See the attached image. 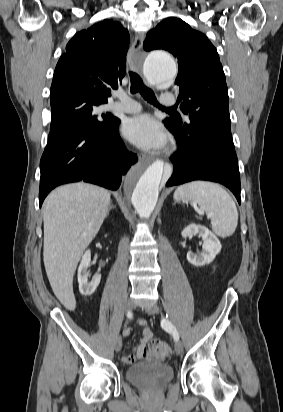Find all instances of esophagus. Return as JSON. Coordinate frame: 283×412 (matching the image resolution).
Returning a JSON list of instances; mask_svg holds the SVG:
<instances>
[{"instance_id":"1","label":"esophagus","mask_w":283,"mask_h":412,"mask_svg":"<svg viewBox=\"0 0 283 412\" xmlns=\"http://www.w3.org/2000/svg\"><path fill=\"white\" fill-rule=\"evenodd\" d=\"M143 41L144 37L141 34H137L128 53L129 68L137 73L142 71L143 59L139 56V53L142 49Z\"/></svg>"}]
</instances>
